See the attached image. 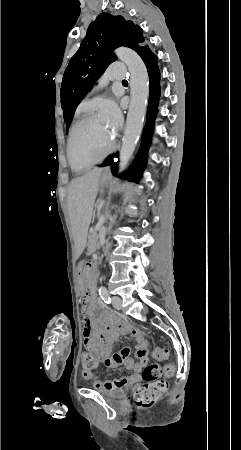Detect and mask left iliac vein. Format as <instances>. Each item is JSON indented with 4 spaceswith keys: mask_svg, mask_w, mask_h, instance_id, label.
<instances>
[{
    "mask_svg": "<svg viewBox=\"0 0 241 450\" xmlns=\"http://www.w3.org/2000/svg\"><path fill=\"white\" fill-rule=\"evenodd\" d=\"M121 304H122V299L118 296H115L112 298V305L115 309L120 310L121 309Z\"/></svg>",
    "mask_w": 241,
    "mask_h": 450,
    "instance_id": "left-iliac-vein-1",
    "label": "left iliac vein"
}]
</instances>
